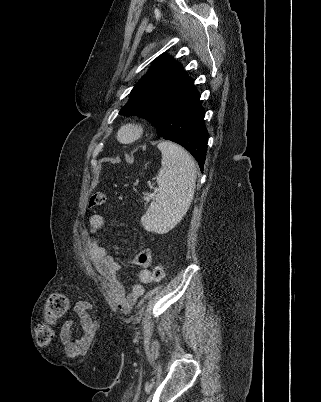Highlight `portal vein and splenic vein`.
<instances>
[{
	"label": "portal vein and splenic vein",
	"instance_id": "obj_1",
	"mask_svg": "<svg viewBox=\"0 0 321 402\" xmlns=\"http://www.w3.org/2000/svg\"><path fill=\"white\" fill-rule=\"evenodd\" d=\"M152 196H154V194L148 195V197H147V198L152 197Z\"/></svg>",
	"mask_w": 321,
	"mask_h": 402
}]
</instances>
